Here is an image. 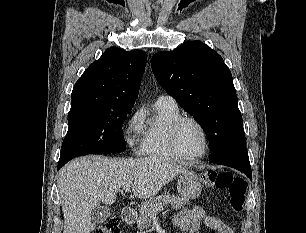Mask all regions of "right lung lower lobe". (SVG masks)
<instances>
[{"instance_id":"obj_1","label":"right lung lower lobe","mask_w":306,"mask_h":233,"mask_svg":"<svg viewBox=\"0 0 306 233\" xmlns=\"http://www.w3.org/2000/svg\"><path fill=\"white\" fill-rule=\"evenodd\" d=\"M65 163H67V162H59L57 169L59 170Z\"/></svg>"}]
</instances>
